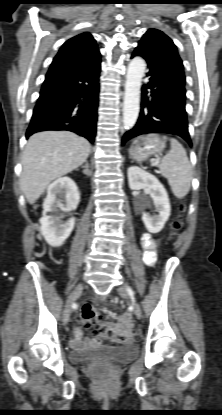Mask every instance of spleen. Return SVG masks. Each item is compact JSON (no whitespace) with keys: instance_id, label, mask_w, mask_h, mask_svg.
I'll list each match as a JSON object with an SVG mask.
<instances>
[{"instance_id":"1","label":"spleen","mask_w":222,"mask_h":415,"mask_svg":"<svg viewBox=\"0 0 222 415\" xmlns=\"http://www.w3.org/2000/svg\"><path fill=\"white\" fill-rule=\"evenodd\" d=\"M148 136H156L150 134ZM171 149L158 163L160 173L168 180L173 194L184 198L190 191L192 181V167L188 160L186 150L176 140L170 139Z\"/></svg>"}]
</instances>
